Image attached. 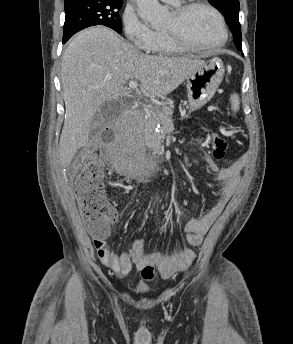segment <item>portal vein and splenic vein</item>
Here are the masks:
<instances>
[{"instance_id": "portal-vein-and-splenic-vein-1", "label": "portal vein and splenic vein", "mask_w": 293, "mask_h": 344, "mask_svg": "<svg viewBox=\"0 0 293 344\" xmlns=\"http://www.w3.org/2000/svg\"><path fill=\"white\" fill-rule=\"evenodd\" d=\"M137 82L136 81H134V80H131L130 82H129V87L131 88V89H135V88H137Z\"/></svg>"}]
</instances>
